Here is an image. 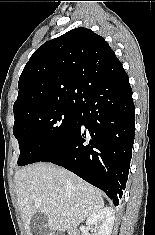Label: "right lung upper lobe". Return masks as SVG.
Returning <instances> with one entry per match:
<instances>
[{
  "instance_id": "obj_1",
  "label": "right lung upper lobe",
  "mask_w": 155,
  "mask_h": 235,
  "mask_svg": "<svg viewBox=\"0 0 155 235\" xmlns=\"http://www.w3.org/2000/svg\"><path fill=\"white\" fill-rule=\"evenodd\" d=\"M124 72L105 39L75 28L45 42L30 57L18 82L14 117L36 109L77 105L95 85Z\"/></svg>"
}]
</instances>
